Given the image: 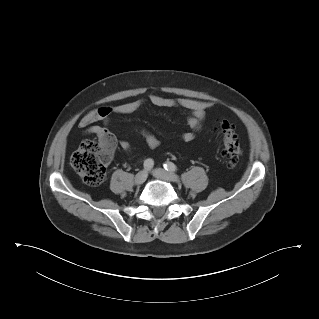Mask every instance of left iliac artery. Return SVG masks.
Masks as SVG:
<instances>
[{
	"mask_svg": "<svg viewBox=\"0 0 319 319\" xmlns=\"http://www.w3.org/2000/svg\"><path fill=\"white\" fill-rule=\"evenodd\" d=\"M163 166H164L165 170H167V171L174 172L177 170L176 165L172 162H166Z\"/></svg>",
	"mask_w": 319,
	"mask_h": 319,
	"instance_id": "obj_1",
	"label": "left iliac artery"
}]
</instances>
